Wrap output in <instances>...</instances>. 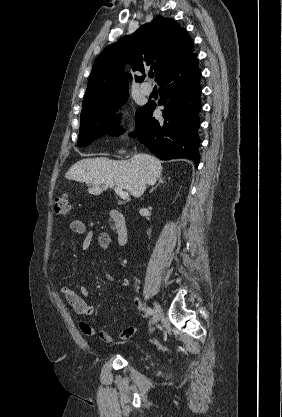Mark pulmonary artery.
<instances>
[{
	"label": "pulmonary artery",
	"mask_w": 282,
	"mask_h": 417,
	"mask_svg": "<svg viewBox=\"0 0 282 417\" xmlns=\"http://www.w3.org/2000/svg\"><path fill=\"white\" fill-rule=\"evenodd\" d=\"M141 92L144 95H149L152 92V87L151 86L142 85L141 86Z\"/></svg>",
	"instance_id": "1"
}]
</instances>
